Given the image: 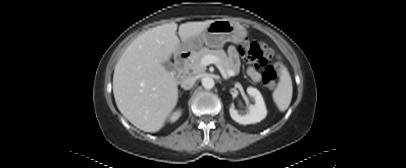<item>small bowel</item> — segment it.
I'll list each match as a JSON object with an SVG mask.
<instances>
[{"instance_id":"obj_1","label":"small bowel","mask_w":406,"mask_h":168,"mask_svg":"<svg viewBox=\"0 0 406 168\" xmlns=\"http://www.w3.org/2000/svg\"><path fill=\"white\" fill-rule=\"evenodd\" d=\"M227 56L228 59L231 63V67L232 69L235 71L238 68L237 62H238V52L237 49L233 46L229 47L227 50ZM248 74L250 75V77L255 81V82H259L261 79V75L259 74V72H257L253 67H249L248 68Z\"/></svg>"}]
</instances>
